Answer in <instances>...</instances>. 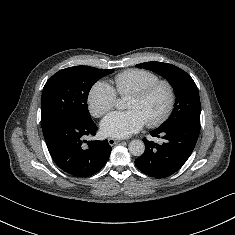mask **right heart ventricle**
Wrapping results in <instances>:
<instances>
[{
	"instance_id": "1",
	"label": "right heart ventricle",
	"mask_w": 235,
	"mask_h": 235,
	"mask_svg": "<svg viewBox=\"0 0 235 235\" xmlns=\"http://www.w3.org/2000/svg\"><path fill=\"white\" fill-rule=\"evenodd\" d=\"M158 76L145 69H128L114 77L113 89L120 96H127L158 81Z\"/></svg>"
}]
</instances>
